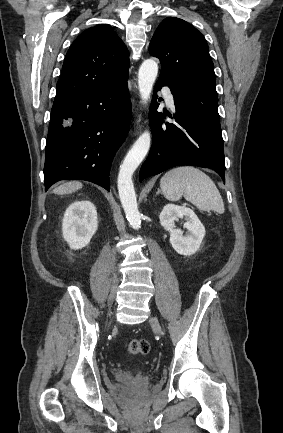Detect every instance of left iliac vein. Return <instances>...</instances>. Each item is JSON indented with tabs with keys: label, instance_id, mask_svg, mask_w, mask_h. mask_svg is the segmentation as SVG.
<instances>
[{
	"label": "left iliac vein",
	"instance_id": "left-iliac-vein-1",
	"mask_svg": "<svg viewBox=\"0 0 283 433\" xmlns=\"http://www.w3.org/2000/svg\"><path fill=\"white\" fill-rule=\"evenodd\" d=\"M149 322H150L151 327L153 328V330H154L157 334H159V335H163L162 328H161L159 322L157 321V319L151 317V318L149 319Z\"/></svg>",
	"mask_w": 283,
	"mask_h": 433
}]
</instances>
